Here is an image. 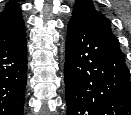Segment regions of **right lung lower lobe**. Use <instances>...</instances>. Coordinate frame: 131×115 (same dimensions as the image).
<instances>
[{
	"label": "right lung lower lobe",
	"mask_w": 131,
	"mask_h": 115,
	"mask_svg": "<svg viewBox=\"0 0 131 115\" xmlns=\"http://www.w3.org/2000/svg\"><path fill=\"white\" fill-rule=\"evenodd\" d=\"M25 35L0 48V115H22L27 72Z\"/></svg>",
	"instance_id": "right-lung-lower-lobe-1"
}]
</instances>
